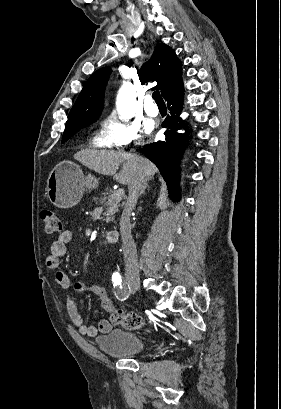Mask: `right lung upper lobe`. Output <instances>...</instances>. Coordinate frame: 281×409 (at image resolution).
I'll use <instances>...</instances> for the list:
<instances>
[{
    "label": "right lung upper lobe",
    "mask_w": 281,
    "mask_h": 409,
    "mask_svg": "<svg viewBox=\"0 0 281 409\" xmlns=\"http://www.w3.org/2000/svg\"><path fill=\"white\" fill-rule=\"evenodd\" d=\"M181 63L175 52L165 44H159L151 59L140 70L142 81H157L156 89L166 98L182 82ZM111 73L109 67L94 72L86 81L76 103L72 107L66 127H78L93 123L99 117L104 89Z\"/></svg>",
    "instance_id": "cb5924a9"
}]
</instances>
